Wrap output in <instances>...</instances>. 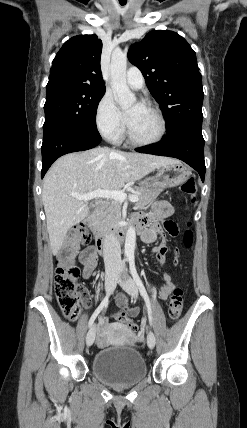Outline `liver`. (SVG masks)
Returning a JSON list of instances; mask_svg holds the SVG:
<instances>
[{
	"label": "liver",
	"mask_w": 247,
	"mask_h": 428,
	"mask_svg": "<svg viewBox=\"0 0 247 428\" xmlns=\"http://www.w3.org/2000/svg\"><path fill=\"white\" fill-rule=\"evenodd\" d=\"M180 161L163 156L93 148L59 158L47 172L42 190L47 231L53 255L61 250L68 230L90 211L83 195L97 189L120 190L156 168Z\"/></svg>",
	"instance_id": "liver-1"
}]
</instances>
